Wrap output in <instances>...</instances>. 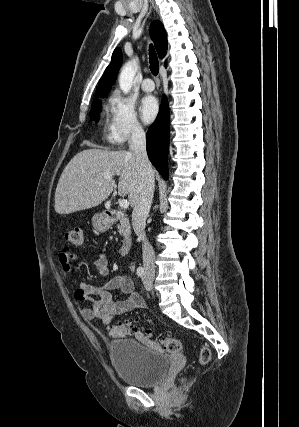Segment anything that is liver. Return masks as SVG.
Returning <instances> with one entry per match:
<instances>
[{
  "instance_id": "1",
  "label": "liver",
  "mask_w": 299,
  "mask_h": 427,
  "mask_svg": "<svg viewBox=\"0 0 299 427\" xmlns=\"http://www.w3.org/2000/svg\"><path fill=\"white\" fill-rule=\"evenodd\" d=\"M105 173L120 176L118 194L128 195L134 206L139 196L135 154L93 148L76 154L63 170L55 192L56 213L70 214L105 201L116 186L113 178H104Z\"/></svg>"
}]
</instances>
